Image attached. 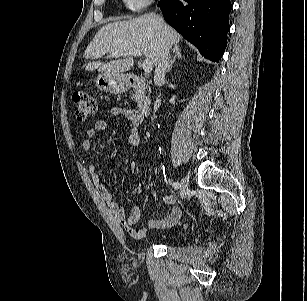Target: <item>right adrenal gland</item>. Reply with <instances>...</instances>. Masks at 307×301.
<instances>
[{
  "mask_svg": "<svg viewBox=\"0 0 307 301\" xmlns=\"http://www.w3.org/2000/svg\"><path fill=\"white\" fill-rule=\"evenodd\" d=\"M173 52H174V56H173V59L168 64L167 72L171 71L173 63L175 62L176 58L181 59L183 57L182 53H181V49H180V47L178 45H174Z\"/></svg>",
  "mask_w": 307,
  "mask_h": 301,
  "instance_id": "right-adrenal-gland-1",
  "label": "right adrenal gland"
}]
</instances>
